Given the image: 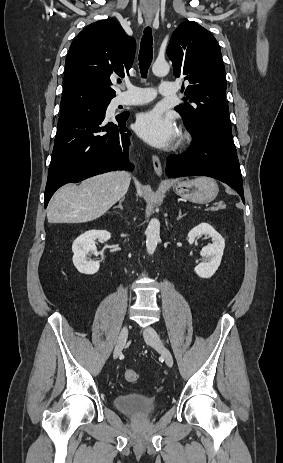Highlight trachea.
<instances>
[{
  "mask_svg": "<svg viewBox=\"0 0 283 463\" xmlns=\"http://www.w3.org/2000/svg\"><path fill=\"white\" fill-rule=\"evenodd\" d=\"M153 38L152 30L150 27H146L144 30V35L141 39V47L139 51V68L142 74V77H146L148 68L152 62L153 58Z\"/></svg>",
  "mask_w": 283,
  "mask_h": 463,
  "instance_id": "obj_1",
  "label": "trachea"
}]
</instances>
